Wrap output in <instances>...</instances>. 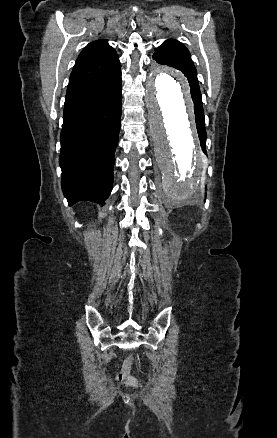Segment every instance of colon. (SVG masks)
Returning <instances> with one entry per match:
<instances>
[{
    "mask_svg": "<svg viewBox=\"0 0 277 438\" xmlns=\"http://www.w3.org/2000/svg\"><path fill=\"white\" fill-rule=\"evenodd\" d=\"M117 381L122 384V385H126V386H132L136 383V379L131 376L127 371H121L120 373H118L117 375Z\"/></svg>",
    "mask_w": 277,
    "mask_h": 438,
    "instance_id": "1",
    "label": "colon"
}]
</instances>
